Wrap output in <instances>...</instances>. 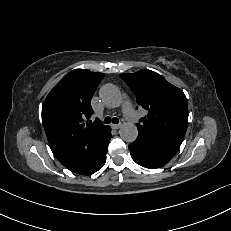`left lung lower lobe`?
<instances>
[{"instance_id":"obj_1","label":"left lung lower lobe","mask_w":231,"mask_h":231,"mask_svg":"<svg viewBox=\"0 0 231 231\" xmlns=\"http://www.w3.org/2000/svg\"><path fill=\"white\" fill-rule=\"evenodd\" d=\"M179 146L138 134L137 139L129 145L133 160L149 169L160 168L168 163L178 151Z\"/></svg>"}]
</instances>
